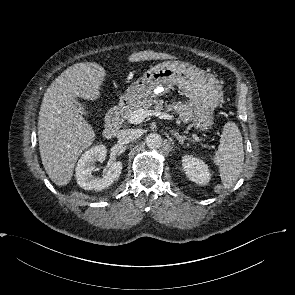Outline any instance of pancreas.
I'll return each instance as SVG.
<instances>
[{"label":"pancreas","instance_id":"cf45deb5","mask_svg":"<svg viewBox=\"0 0 295 295\" xmlns=\"http://www.w3.org/2000/svg\"><path fill=\"white\" fill-rule=\"evenodd\" d=\"M162 99L152 100V99H144L142 101H138L132 105H130L123 113H122V121H129L130 115L137 109L148 110L149 108H153L155 111L163 110ZM168 111H174L179 115V119L184 123L192 120L193 117V106L191 103H182V102H173L172 104L166 105Z\"/></svg>","mask_w":295,"mask_h":295}]
</instances>
